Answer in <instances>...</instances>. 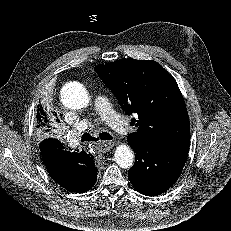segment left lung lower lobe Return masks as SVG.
<instances>
[{"label":"left lung lower lobe","mask_w":231,"mask_h":231,"mask_svg":"<svg viewBox=\"0 0 231 231\" xmlns=\"http://www.w3.org/2000/svg\"><path fill=\"white\" fill-rule=\"evenodd\" d=\"M130 145L136 153V161L128 178L138 192L156 196L177 181L187 155L170 154L148 145Z\"/></svg>","instance_id":"obj_1"}]
</instances>
